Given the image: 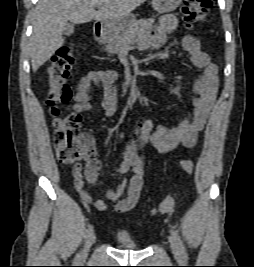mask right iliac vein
Segmentation results:
<instances>
[{
  "label": "right iliac vein",
  "instance_id": "1",
  "mask_svg": "<svg viewBox=\"0 0 254 267\" xmlns=\"http://www.w3.org/2000/svg\"><path fill=\"white\" fill-rule=\"evenodd\" d=\"M96 239V235L94 232H91L89 234V236L87 237L86 241H85V244H84V247H83V250L81 252V255H80V260L81 261H85L87 256H88V253H89V250L92 246V244L94 243Z\"/></svg>",
  "mask_w": 254,
  "mask_h": 267
}]
</instances>
